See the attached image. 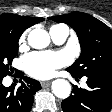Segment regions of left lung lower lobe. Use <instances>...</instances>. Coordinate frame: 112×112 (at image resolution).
Masks as SVG:
<instances>
[{
	"mask_svg": "<svg viewBox=\"0 0 112 112\" xmlns=\"http://www.w3.org/2000/svg\"><path fill=\"white\" fill-rule=\"evenodd\" d=\"M70 73L76 80L81 78ZM87 78V89L74 86L73 94L62 101L64 112H109L112 109V72L95 73Z\"/></svg>",
	"mask_w": 112,
	"mask_h": 112,
	"instance_id": "left-lung-lower-lobe-1",
	"label": "left lung lower lobe"
}]
</instances>
